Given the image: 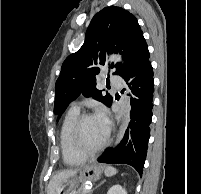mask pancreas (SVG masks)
<instances>
[{
    "instance_id": "cf45deb5",
    "label": "pancreas",
    "mask_w": 201,
    "mask_h": 194,
    "mask_svg": "<svg viewBox=\"0 0 201 194\" xmlns=\"http://www.w3.org/2000/svg\"><path fill=\"white\" fill-rule=\"evenodd\" d=\"M74 194H90L89 192L86 191L84 187H81L77 192Z\"/></svg>"
}]
</instances>
